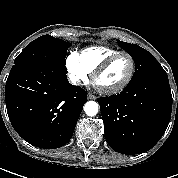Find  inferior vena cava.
<instances>
[{
	"label": "inferior vena cava",
	"mask_w": 178,
	"mask_h": 178,
	"mask_svg": "<svg viewBox=\"0 0 178 178\" xmlns=\"http://www.w3.org/2000/svg\"><path fill=\"white\" fill-rule=\"evenodd\" d=\"M74 83H75V84H79V81H77V82L75 81Z\"/></svg>",
	"instance_id": "inferior-vena-cava-1"
}]
</instances>
